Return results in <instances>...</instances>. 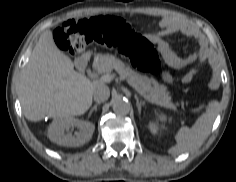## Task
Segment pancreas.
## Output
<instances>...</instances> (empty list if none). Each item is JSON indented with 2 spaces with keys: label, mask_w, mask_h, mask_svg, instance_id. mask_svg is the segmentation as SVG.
<instances>
[{
  "label": "pancreas",
  "mask_w": 236,
  "mask_h": 182,
  "mask_svg": "<svg viewBox=\"0 0 236 182\" xmlns=\"http://www.w3.org/2000/svg\"><path fill=\"white\" fill-rule=\"evenodd\" d=\"M94 65L96 68L105 67V72L115 69L122 78H127L135 82L142 90L150 96L163 103H171V97L165 85L159 84L155 79L141 75L127 67L122 61L112 55L98 54L95 57Z\"/></svg>",
  "instance_id": "obj_1"
}]
</instances>
